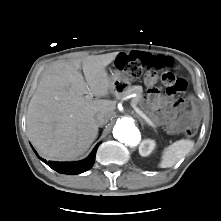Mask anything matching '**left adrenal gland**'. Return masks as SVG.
Returning a JSON list of instances; mask_svg holds the SVG:
<instances>
[{
  "label": "left adrenal gland",
  "mask_w": 221,
  "mask_h": 221,
  "mask_svg": "<svg viewBox=\"0 0 221 221\" xmlns=\"http://www.w3.org/2000/svg\"><path fill=\"white\" fill-rule=\"evenodd\" d=\"M139 121L141 122L142 125L145 124V122L142 119H139Z\"/></svg>",
  "instance_id": "1"
}]
</instances>
